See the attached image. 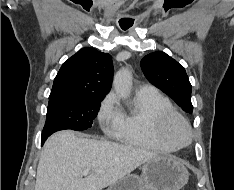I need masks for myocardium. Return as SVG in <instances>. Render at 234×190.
<instances>
[{
  "instance_id": "myocardium-1",
  "label": "myocardium",
  "mask_w": 234,
  "mask_h": 190,
  "mask_svg": "<svg viewBox=\"0 0 234 190\" xmlns=\"http://www.w3.org/2000/svg\"><path fill=\"white\" fill-rule=\"evenodd\" d=\"M179 124L185 131L186 138L183 142L175 141L170 134L173 125ZM158 134L166 143L172 145L176 149L186 147L193 138V132L188 120L175 110L164 112L158 121Z\"/></svg>"
}]
</instances>
